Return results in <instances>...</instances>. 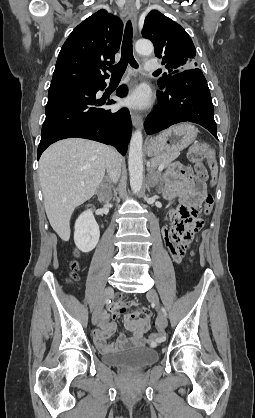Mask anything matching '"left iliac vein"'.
<instances>
[{
	"label": "left iliac vein",
	"mask_w": 255,
	"mask_h": 418,
	"mask_svg": "<svg viewBox=\"0 0 255 418\" xmlns=\"http://www.w3.org/2000/svg\"><path fill=\"white\" fill-rule=\"evenodd\" d=\"M147 298L157 305L159 326L162 327V328H166L168 326V320L166 318V315L164 314V312L160 308L159 297H158L157 292L154 289L148 291Z\"/></svg>",
	"instance_id": "1"
}]
</instances>
